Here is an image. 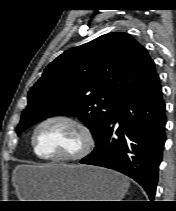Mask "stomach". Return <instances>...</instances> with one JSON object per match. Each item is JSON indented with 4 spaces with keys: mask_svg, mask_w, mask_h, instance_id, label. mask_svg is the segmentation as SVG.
I'll list each match as a JSON object with an SVG mask.
<instances>
[{
    "mask_svg": "<svg viewBox=\"0 0 176 211\" xmlns=\"http://www.w3.org/2000/svg\"><path fill=\"white\" fill-rule=\"evenodd\" d=\"M13 182L22 201H121L129 187L113 170L66 164L19 166Z\"/></svg>",
    "mask_w": 176,
    "mask_h": 211,
    "instance_id": "1",
    "label": "stomach"
}]
</instances>
